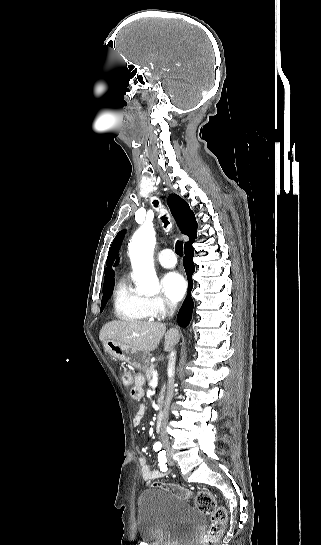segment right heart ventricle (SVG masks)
Masks as SVG:
<instances>
[{
    "label": "right heart ventricle",
    "instance_id": "1",
    "mask_svg": "<svg viewBox=\"0 0 321 545\" xmlns=\"http://www.w3.org/2000/svg\"><path fill=\"white\" fill-rule=\"evenodd\" d=\"M113 312L117 319L127 323L150 321L143 300L131 288L125 277H120L113 293Z\"/></svg>",
    "mask_w": 321,
    "mask_h": 545
}]
</instances>
